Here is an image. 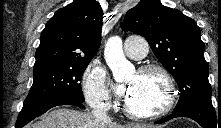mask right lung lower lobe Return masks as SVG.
<instances>
[{
	"label": "right lung lower lobe",
	"mask_w": 221,
	"mask_h": 128,
	"mask_svg": "<svg viewBox=\"0 0 221 128\" xmlns=\"http://www.w3.org/2000/svg\"><path fill=\"white\" fill-rule=\"evenodd\" d=\"M58 105H74L80 108H85L81 101L73 98L56 96L45 100L38 101L29 105H23V108L18 116L15 128H22L34 118L42 115L47 110Z\"/></svg>",
	"instance_id": "obj_1"
}]
</instances>
